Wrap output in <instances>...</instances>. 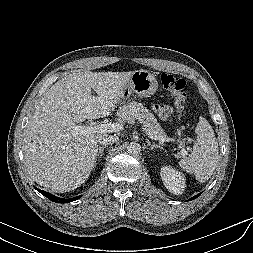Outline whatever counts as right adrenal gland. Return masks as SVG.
I'll return each mask as SVG.
<instances>
[{"label": "right adrenal gland", "mask_w": 253, "mask_h": 253, "mask_svg": "<svg viewBox=\"0 0 253 253\" xmlns=\"http://www.w3.org/2000/svg\"><path fill=\"white\" fill-rule=\"evenodd\" d=\"M107 147V145L103 146V147H99L98 149V154H97V158L98 160L101 158V156L103 155L104 149ZM97 161V160H96Z\"/></svg>", "instance_id": "1"}]
</instances>
